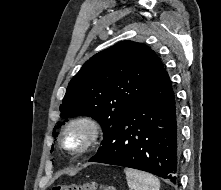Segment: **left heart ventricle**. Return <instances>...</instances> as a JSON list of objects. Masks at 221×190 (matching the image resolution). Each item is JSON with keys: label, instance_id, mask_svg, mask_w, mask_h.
Listing matches in <instances>:
<instances>
[{"label": "left heart ventricle", "instance_id": "1", "mask_svg": "<svg viewBox=\"0 0 221 190\" xmlns=\"http://www.w3.org/2000/svg\"><path fill=\"white\" fill-rule=\"evenodd\" d=\"M85 133L81 128H73L66 135V142L69 146L77 147L84 140Z\"/></svg>", "mask_w": 221, "mask_h": 190}]
</instances>
